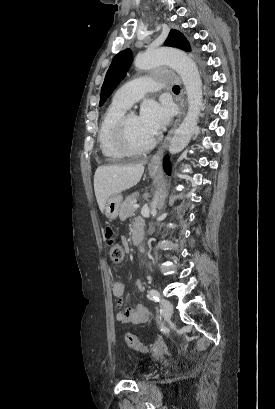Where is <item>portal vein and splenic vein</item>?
Returning a JSON list of instances; mask_svg holds the SVG:
<instances>
[{
	"label": "portal vein and splenic vein",
	"mask_w": 275,
	"mask_h": 409,
	"mask_svg": "<svg viewBox=\"0 0 275 409\" xmlns=\"http://www.w3.org/2000/svg\"><path fill=\"white\" fill-rule=\"evenodd\" d=\"M138 207H140V205H133V209H138Z\"/></svg>",
	"instance_id": "1"
}]
</instances>
